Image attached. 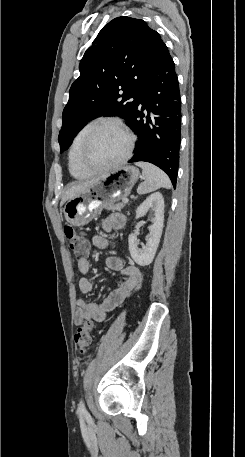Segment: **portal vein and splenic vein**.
<instances>
[{"label": "portal vein and splenic vein", "instance_id": "1", "mask_svg": "<svg viewBox=\"0 0 245 457\" xmlns=\"http://www.w3.org/2000/svg\"><path fill=\"white\" fill-rule=\"evenodd\" d=\"M122 202H128V198H123Z\"/></svg>", "mask_w": 245, "mask_h": 457}]
</instances>
